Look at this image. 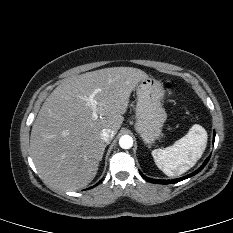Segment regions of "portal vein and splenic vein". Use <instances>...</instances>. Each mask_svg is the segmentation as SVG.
Listing matches in <instances>:
<instances>
[{
  "instance_id": "1",
  "label": "portal vein and splenic vein",
  "mask_w": 233,
  "mask_h": 233,
  "mask_svg": "<svg viewBox=\"0 0 233 233\" xmlns=\"http://www.w3.org/2000/svg\"><path fill=\"white\" fill-rule=\"evenodd\" d=\"M94 97H95V93H92L88 97H83V99L87 102L86 103L87 106H89L93 110L92 117L94 119H97L98 118V113L96 111V109H97V102L95 101Z\"/></svg>"
}]
</instances>
